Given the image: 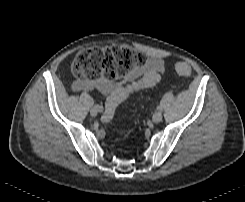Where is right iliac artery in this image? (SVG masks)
Masks as SVG:
<instances>
[{
  "mask_svg": "<svg viewBox=\"0 0 245 202\" xmlns=\"http://www.w3.org/2000/svg\"><path fill=\"white\" fill-rule=\"evenodd\" d=\"M99 108H100V112H102L103 111V106H101V105H97Z\"/></svg>",
  "mask_w": 245,
  "mask_h": 202,
  "instance_id": "82829eb1",
  "label": "right iliac artery"
}]
</instances>
